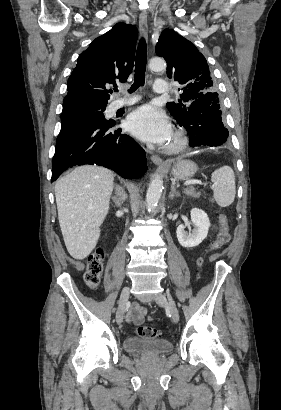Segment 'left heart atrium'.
<instances>
[{
	"mask_svg": "<svg viewBox=\"0 0 281 410\" xmlns=\"http://www.w3.org/2000/svg\"><path fill=\"white\" fill-rule=\"evenodd\" d=\"M128 130L142 141L166 144L172 136V128L166 114L151 105H145L127 119Z\"/></svg>",
	"mask_w": 281,
	"mask_h": 410,
	"instance_id": "left-heart-atrium-1",
	"label": "left heart atrium"
}]
</instances>
